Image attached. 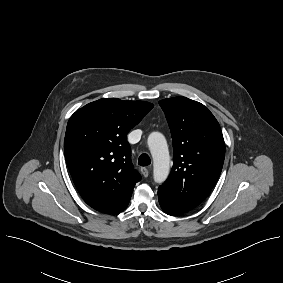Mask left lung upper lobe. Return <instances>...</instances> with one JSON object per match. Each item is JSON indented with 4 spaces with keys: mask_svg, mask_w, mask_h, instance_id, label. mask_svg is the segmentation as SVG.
Wrapping results in <instances>:
<instances>
[{
    "mask_svg": "<svg viewBox=\"0 0 283 283\" xmlns=\"http://www.w3.org/2000/svg\"><path fill=\"white\" fill-rule=\"evenodd\" d=\"M173 140V167L159 189L187 212L198 206L216 184L224 162L220 125L201 103L186 97L159 101Z\"/></svg>",
    "mask_w": 283,
    "mask_h": 283,
    "instance_id": "1",
    "label": "left lung upper lobe"
}]
</instances>
